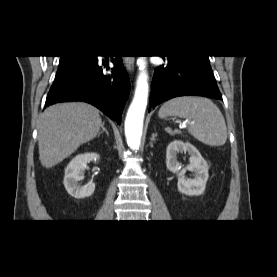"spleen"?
<instances>
[{
	"mask_svg": "<svg viewBox=\"0 0 277 277\" xmlns=\"http://www.w3.org/2000/svg\"><path fill=\"white\" fill-rule=\"evenodd\" d=\"M159 117L179 116L192 120L188 132L209 146H222L227 140V127L220 109L203 97L183 96L165 102Z\"/></svg>",
	"mask_w": 277,
	"mask_h": 277,
	"instance_id": "spleen-1",
	"label": "spleen"
}]
</instances>
